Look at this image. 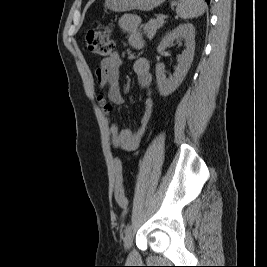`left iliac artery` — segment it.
Returning a JSON list of instances; mask_svg holds the SVG:
<instances>
[{"instance_id":"obj_1","label":"left iliac artery","mask_w":267,"mask_h":267,"mask_svg":"<svg viewBox=\"0 0 267 267\" xmlns=\"http://www.w3.org/2000/svg\"><path fill=\"white\" fill-rule=\"evenodd\" d=\"M131 225H128L127 227H126V229H125V233L127 234V233H129L130 231H131Z\"/></svg>"}]
</instances>
